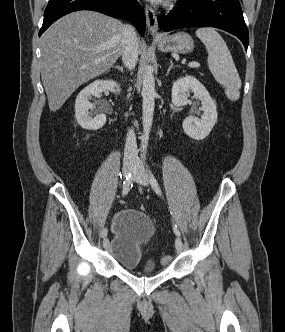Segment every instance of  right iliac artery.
<instances>
[{
	"instance_id": "right-iliac-artery-1",
	"label": "right iliac artery",
	"mask_w": 285,
	"mask_h": 332,
	"mask_svg": "<svg viewBox=\"0 0 285 332\" xmlns=\"http://www.w3.org/2000/svg\"><path fill=\"white\" fill-rule=\"evenodd\" d=\"M132 186H133V174L129 173L123 182L122 195L125 196L129 192ZM107 233H108L107 228L103 229L101 232V237H105Z\"/></svg>"
}]
</instances>
